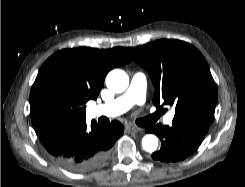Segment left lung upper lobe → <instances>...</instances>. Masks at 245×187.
<instances>
[{"mask_svg": "<svg viewBox=\"0 0 245 187\" xmlns=\"http://www.w3.org/2000/svg\"><path fill=\"white\" fill-rule=\"evenodd\" d=\"M145 68L156 89L157 108H175L174 123H209L217 102V88L203 55L189 43L159 40L128 48Z\"/></svg>", "mask_w": 245, "mask_h": 187, "instance_id": "left-lung-upper-lobe-1", "label": "left lung upper lobe"}]
</instances>
